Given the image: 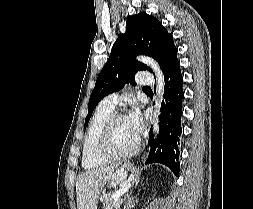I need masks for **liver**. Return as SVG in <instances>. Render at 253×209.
Instances as JSON below:
<instances>
[{
	"label": "liver",
	"instance_id": "obj_1",
	"mask_svg": "<svg viewBox=\"0 0 253 209\" xmlns=\"http://www.w3.org/2000/svg\"><path fill=\"white\" fill-rule=\"evenodd\" d=\"M117 168L118 164H110L78 176L76 181L77 209H97L100 191L107 180H111V184L115 186L126 178L124 169L120 168L115 172Z\"/></svg>",
	"mask_w": 253,
	"mask_h": 209
}]
</instances>
